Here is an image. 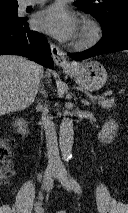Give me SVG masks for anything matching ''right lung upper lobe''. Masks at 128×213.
I'll return each mask as SVG.
<instances>
[{
  "label": "right lung upper lobe",
  "instance_id": "cb5924a9",
  "mask_svg": "<svg viewBox=\"0 0 128 213\" xmlns=\"http://www.w3.org/2000/svg\"><path fill=\"white\" fill-rule=\"evenodd\" d=\"M18 5L17 0H0V7Z\"/></svg>",
  "mask_w": 128,
  "mask_h": 213
}]
</instances>
